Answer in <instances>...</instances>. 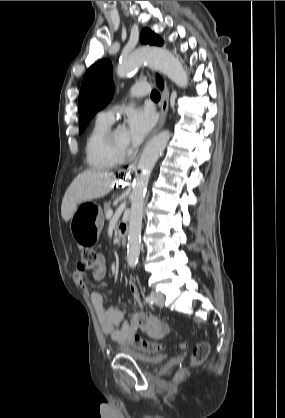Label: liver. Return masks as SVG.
<instances>
[{"label":"liver","mask_w":285,"mask_h":418,"mask_svg":"<svg viewBox=\"0 0 285 418\" xmlns=\"http://www.w3.org/2000/svg\"><path fill=\"white\" fill-rule=\"evenodd\" d=\"M115 175L99 169H89L78 174L66 190L61 215L68 222L74 215L77 206L82 202L104 197L115 183Z\"/></svg>","instance_id":"6515ba94"}]
</instances>
